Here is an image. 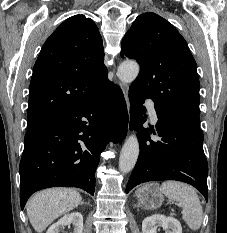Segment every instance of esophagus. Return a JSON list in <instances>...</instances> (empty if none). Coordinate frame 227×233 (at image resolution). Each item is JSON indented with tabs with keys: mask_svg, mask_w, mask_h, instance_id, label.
Listing matches in <instances>:
<instances>
[{
	"mask_svg": "<svg viewBox=\"0 0 227 233\" xmlns=\"http://www.w3.org/2000/svg\"><path fill=\"white\" fill-rule=\"evenodd\" d=\"M121 89H122V92L124 94V97H125V100H126V104H127V108L129 110V107H130V103H129V98H128V86L124 83H119ZM129 124H128V132H129Z\"/></svg>",
	"mask_w": 227,
	"mask_h": 233,
	"instance_id": "obj_1",
	"label": "esophagus"
}]
</instances>
